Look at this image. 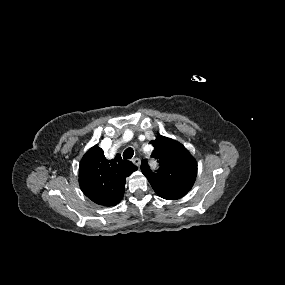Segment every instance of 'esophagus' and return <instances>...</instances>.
<instances>
[{
    "label": "esophagus",
    "mask_w": 285,
    "mask_h": 285,
    "mask_svg": "<svg viewBox=\"0 0 285 285\" xmlns=\"http://www.w3.org/2000/svg\"><path fill=\"white\" fill-rule=\"evenodd\" d=\"M132 162H133L137 167H140L141 161H140L139 158H134V159H132Z\"/></svg>",
    "instance_id": "1"
}]
</instances>
